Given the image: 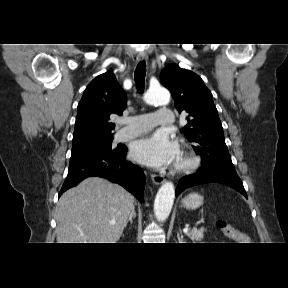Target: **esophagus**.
<instances>
[{"label": "esophagus", "mask_w": 288, "mask_h": 288, "mask_svg": "<svg viewBox=\"0 0 288 288\" xmlns=\"http://www.w3.org/2000/svg\"><path fill=\"white\" fill-rule=\"evenodd\" d=\"M147 58V54L145 52H141L137 55V61L141 62L146 60ZM151 179L154 182V184L156 185H160L164 182V177L162 175H158V174H152L151 175Z\"/></svg>", "instance_id": "obj_1"}]
</instances>
